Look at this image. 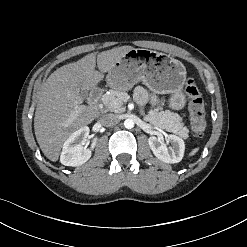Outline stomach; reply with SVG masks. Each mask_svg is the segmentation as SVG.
<instances>
[{
    "instance_id": "1",
    "label": "stomach",
    "mask_w": 247,
    "mask_h": 247,
    "mask_svg": "<svg viewBox=\"0 0 247 247\" xmlns=\"http://www.w3.org/2000/svg\"><path fill=\"white\" fill-rule=\"evenodd\" d=\"M186 68L178 60L148 49H132L108 72L106 82L112 89L130 90L142 81L150 90L170 94L169 107L181 110L186 104L183 85Z\"/></svg>"
}]
</instances>
